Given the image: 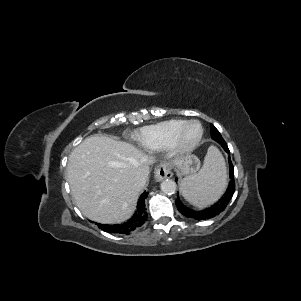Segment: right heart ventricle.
Here are the masks:
<instances>
[{
	"mask_svg": "<svg viewBox=\"0 0 301 301\" xmlns=\"http://www.w3.org/2000/svg\"><path fill=\"white\" fill-rule=\"evenodd\" d=\"M186 122V120L171 119L145 126L138 130L135 141L138 146L148 151L166 149Z\"/></svg>",
	"mask_w": 301,
	"mask_h": 301,
	"instance_id": "1",
	"label": "right heart ventricle"
}]
</instances>
